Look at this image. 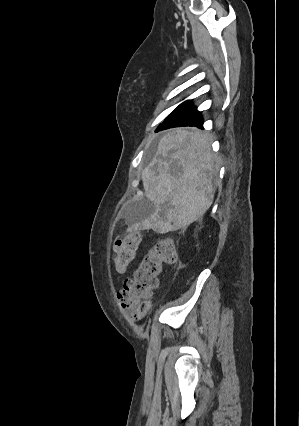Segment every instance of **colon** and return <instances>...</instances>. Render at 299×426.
<instances>
[{
	"label": "colon",
	"instance_id": "colon-1",
	"mask_svg": "<svg viewBox=\"0 0 299 426\" xmlns=\"http://www.w3.org/2000/svg\"><path fill=\"white\" fill-rule=\"evenodd\" d=\"M141 235L128 233L115 242L114 263L118 272H124L135 259ZM176 260V246L172 238H160L143 256L133 274L124 281L118 300L131 318L139 320L148 309V301L158 286L164 265Z\"/></svg>",
	"mask_w": 299,
	"mask_h": 426
}]
</instances>
